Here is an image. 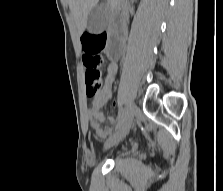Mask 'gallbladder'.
Returning <instances> with one entry per match:
<instances>
[{
    "label": "gallbladder",
    "instance_id": "bac80fb5",
    "mask_svg": "<svg viewBox=\"0 0 223 191\" xmlns=\"http://www.w3.org/2000/svg\"><path fill=\"white\" fill-rule=\"evenodd\" d=\"M110 13L101 5H96L88 14L86 28L92 34H98L107 25Z\"/></svg>",
    "mask_w": 223,
    "mask_h": 191
}]
</instances>
